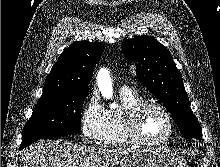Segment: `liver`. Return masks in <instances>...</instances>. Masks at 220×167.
<instances>
[{
	"instance_id": "1",
	"label": "liver",
	"mask_w": 220,
	"mask_h": 167,
	"mask_svg": "<svg viewBox=\"0 0 220 167\" xmlns=\"http://www.w3.org/2000/svg\"><path fill=\"white\" fill-rule=\"evenodd\" d=\"M129 150L125 147L40 140L22 152L20 167H114Z\"/></svg>"
}]
</instances>
